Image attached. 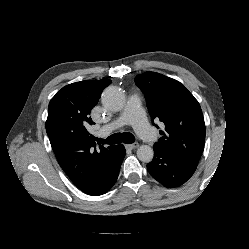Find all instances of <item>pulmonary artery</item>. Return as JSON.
<instances>
[{
    "mask_svg": "<svg viewBox=\"0 0 249 249\" xmlns=\"http://www.w3.org/2000/svg\"><path fill=\"white\" fill-rule=\"evenodd\" d=\"M124 125H131L138 135L147 142H153L156 139V133L146 119L142 101L138 94L134 93L128 98L120 116L112 123L101 127L99 135H109L115 129Z\"/></svg>",
    "mask_w": 249,
    "mask_h": 249,
    "instance_id": "pulmonary-artery-1",
    "label": "pulmonary artery"
}]
</instances>
